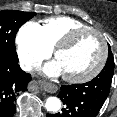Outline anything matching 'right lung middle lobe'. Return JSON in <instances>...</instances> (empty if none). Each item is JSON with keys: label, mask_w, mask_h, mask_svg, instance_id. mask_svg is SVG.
I'll list each match as a JSON object with an SVG mask.
<instances>
[{"label": "right lung middle lobe", "mask_w": 117, "mask_h": 117, "mask_svg": "<svg viewBox=\"0 0 117 117\" xmlns=\"http://www.w3.org/2000/svg\"><path fill=\"white\" fill-rule=\"evenodd\" d=\"M34 15V12L0 11V58L10 62L18 61L15 49L16 33Z\"/></svg>", "instance_id": "obj_1"}]
</instances>
